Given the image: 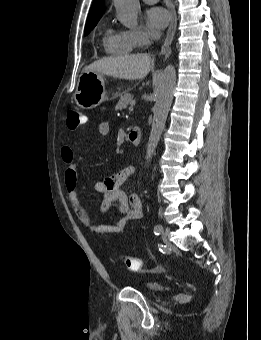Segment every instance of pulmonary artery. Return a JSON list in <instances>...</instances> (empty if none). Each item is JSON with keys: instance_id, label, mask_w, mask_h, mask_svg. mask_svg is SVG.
I'll list each match as a JSON object with an SVG mask.
<instances>
[{"instance_id": "pulmonary-artery-1", "label": "pulmonary artery", "mask_w": 261, "mask_h": 340, "mask_svg": "<svg viewBox=\"0 0 261 340\" xmlns=\"http://www.w3.org/2000/svg\"><path fill=\"white\" fill-rule=\"evenodd\" d=\"M143 1L148 4H153L156 3L158 0H143Z\"/></svg>"}]
</instances>
